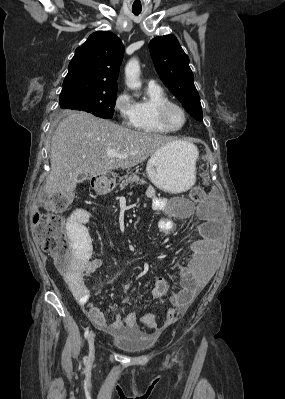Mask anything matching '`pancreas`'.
Wrapping results in <instances>:
<instances>
[{
  "mask_svg": "<svg viewBox=\"0 0 285 399\" xmlns=\"http://www.w3.org/2000/svg\"><path fill=\"white\" fill-rule=\"evenodd\" d=\"M133 183L146 184L145 180L141 179L136 173H128L121 178L119 188L120 190H122L128 185H132Z\"/></svg>",
  "mask_w": 285,
  "mask_h": 399,
  "instance_id": "obj_1",
  "label": "pancreas"
}]
</instances>
